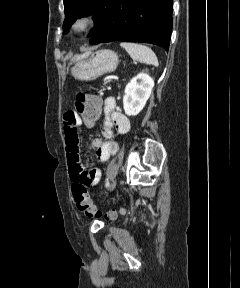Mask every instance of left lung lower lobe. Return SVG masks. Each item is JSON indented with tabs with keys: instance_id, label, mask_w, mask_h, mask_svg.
<instances>
[{
	"instance_id": "0a47b994",
	"label": "left lung lower lobe",
	"mask_w": 240,
	"mask_h": 288,
	"mask_svg": "<svg viewBox=\"0 0 240 288\" xmlns=\"http://www.w3.org/2000/svg\"><path fill=\"white\" fill-rule=\"evenodd\" d=\"M173 0H110L90 44L145 42L169 47Z\"/></svg>"
}]
</instances>
